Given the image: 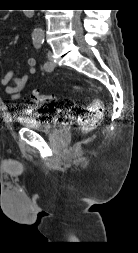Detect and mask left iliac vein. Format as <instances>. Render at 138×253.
Returning a JSON list of instances; mask_svg holds the SVG:
<instances>
[{"label": "left iliac vein", "instance_id": "4c4485c4", "mask_svg": "<svg viewBox=\"0 0 138 253\" xmlns=\"http://www.w3.org/2000/svg\"><path fill=\"white\" fill-rule=\"evenodd\" d=\"M47 58H48V61H49V64H50V68L48 69V71H51L55 68V63L53 61V56H52V52H48L47 53Z\"/></svg>", "mask_w": 138, "mask_h": 253}]
</instances>
